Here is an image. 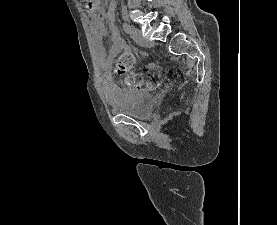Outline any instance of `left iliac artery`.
<instances>
[{
    "label": "left iliac artery",
    "mask_w": 277,
    "mask_h": 225,
    "mask_svg": "<svg viewBox=\"0 0 277 225\" xmlns=\"http://www.w3.org/2000/svg\"><path fill=\"white\" fill-rule=\"evenodd\" d=\"M123 29L127 34H131L132 28L128 23H123Z\"/></svg>",
    "instance_id": "left-iliac-artery-1"
}]
</instances>
